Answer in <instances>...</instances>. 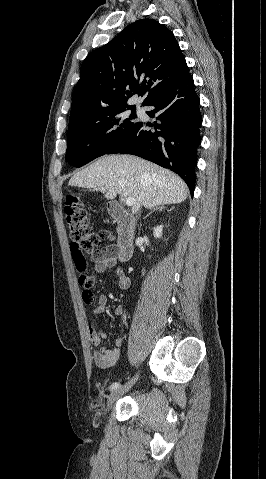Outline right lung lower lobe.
Returning <instances> with one entry per match:
<instances>
[{
    "label": "right lung lower lobe",
    "mask_w": 266,
    "mask_h": 479,
    "mask_svg": "<svg viewBox=\"0 0 266 479\" xmlns=\"http://www.w3.org/2000/svg\"><path fill=\"white\" fill-rule=\"evenodd\" d=\"M199 103L190 73L162 87L143 104L154 107L146 112L157 120L150 125L153 130L137 122L106 154H133L170 169L180 175L193 195L197 147L201 142Z\"/></svg>",
    "instance_id": "98d812e1"
}]
</instances>
